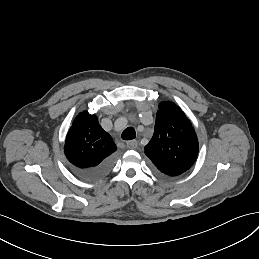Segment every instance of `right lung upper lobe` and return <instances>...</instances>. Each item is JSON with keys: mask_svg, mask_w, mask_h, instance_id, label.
<instances>
[{"mask_svg": "<svg viewBox=\"0 0 259 259\" xmlns=\"http://www.w3.org/2000/svg\"><path fill=\"white\" fill-rule=\"evenodd\" d=\"M117 147L95 115L79 113L66 136L64 152L78 168H91L112 156Z\"/></svg>", "mask_w": 259, "mask_h": 259, "instance_id": "right-lung-upper-lobe-1", "label": "right lung upper lobe"}]
</instances>
